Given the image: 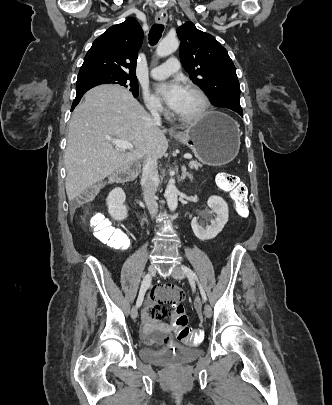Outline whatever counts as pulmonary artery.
I'll return each instance as SVG.
<instances>
[{
  "instance_id": "1",
  "label": "pulmonary artery",
  "mask_w": 332,
  "mask_h": 405,
  "mask_svg": "<svg viewBox=\"0 0 332 405\" xmlns=\"http://www.w3.org/2000/svg\"><path fill=\"white\" fill-rule=\"evenodd\" d=\"M179 69V62L176 58H169L164 64L152 68L150 74L154 79L165 78Z\"/></svg>"
}]
</instances>
